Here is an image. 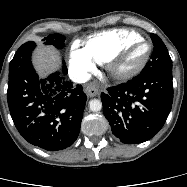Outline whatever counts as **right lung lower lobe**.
Instances as JSON below:
<instances>
[{
    "label": "right lung lower lobe",
    "mask_w": 187,
    "mask_h": 187,
    "mask_svg": "<svg viewBox=\"0 0 187 187\" xmlns=\"http://www.w3.org/2000/svg\"><path fill=\"white\" fill-rule=\"evenodd\" d=\"M36 44H23L9 65L8 106L19 133L48 151L72 145L80 132L87 100L81 85L74 86L56 72L39 77L31 63ZM63 73L67 67L63 62Z\"/></svg>",
    "instance_id": "98d812e1"
}]
</instances>
